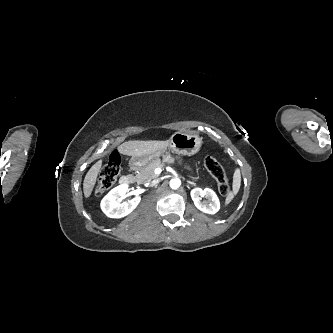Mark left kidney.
<instances>
[{
  "label": "left kidney",
  "instance_id": "left-kidney-1",
  "mask_svg": "<svg viewBox=\"0 0 333 333\" xmlns=\"http://www.w3.org/2000/svg\"><path fill=\"white\" fill-rule=\"evenodd\" d=\"M191 198L195 206L202 212L215 214L220 209V202L216 193L210 188H194L191 190ZM201 197H205L208 201L202 202Z\"/></svg>",
  "mask_w": 333,
  "mask_h": 333
}]
</instances>
